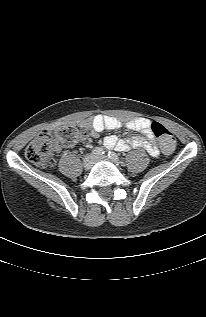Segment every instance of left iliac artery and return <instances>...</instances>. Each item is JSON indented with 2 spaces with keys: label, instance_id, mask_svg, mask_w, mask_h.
Listing matches in <instances>:
<instances>
[{
  "label": "left iliac artery",
  "instance_id": "1",
  "mask_svg": "<svg viewBox=\"0 0 206 317\" xmlns=\"http://www.w3.org/2000/svg\"><path fill=\"white\" fill-rule=\"evenodd\" d=\"M108 157L113 160L114 162L120 163V159L118 157V155L112 151L108 152Z\"/></svg>",
  "mask_w": 206,
  "mask_h": 317
}]
</instances>
